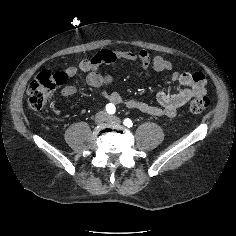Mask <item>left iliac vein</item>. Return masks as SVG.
Returning a JSON list of instances; mask_svg holds the SVG:
<instances>
[{"label":"left iliac vein","instance_id":"left-iliac-vein-1","mask_svg":"<svg viewBox=\"0 0 236 236\" xmlns=\"http://www.w3.org/2000/svg\"><path fill=\"white\" fill-rule=\"evenodd\" d=\"M106 120L108 122L115 123V124H120L121 123V119L118 118L117 116H107Z\"/></svg>","mask_w":236,"mask_h":236}]
</instances>
